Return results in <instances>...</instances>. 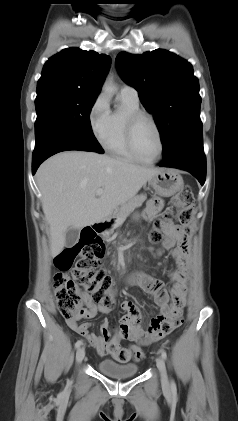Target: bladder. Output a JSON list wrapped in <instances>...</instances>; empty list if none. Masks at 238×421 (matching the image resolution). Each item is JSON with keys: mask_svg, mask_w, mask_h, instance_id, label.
Listing matches in <instances>:
<instances>
[{"mask_svg": "<svg viewBox=\"0 0 238 421\" xmlns=\"http://www.w3.org/2000/svg\"><path fill=\"white\" fill-rule=\"evenodd\" d=\"M98 370L112 378H130L138 373V366L133 363L121 364L111 359H103L97 363Z\"/></svg>", "mask_w": 238, "mask_h": 421, "instance_id": "obj_1", "label": "bladder"}]
</instances>
